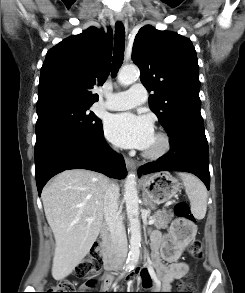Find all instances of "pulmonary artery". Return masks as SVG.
Masks as SVG:
<instances>
[{
	"label": "pulmonary artery",
	"mask_w": 245,
	"mask_h": 293,
	"mask_svg": "<svg viewBox=\"0 0 245 293\" xmlns=\"http://www.w3.org/2000/svg\"><path fill=\"white\" fill-rule=\"evenodd\" d=\"M104 107L109 110H126L143 104L147 99V92L143 85L134 84L129 90L108 94Z\"/></svg>",
	"instance_id": "obj_1"
}]
</instances>
